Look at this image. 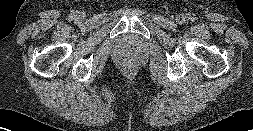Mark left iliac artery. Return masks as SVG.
Instances as JSON below:
<instances>
[{
	"label": "left iliac artery",
	"mask_w": 253,
	"mask_h": 131,
	"mask_svg": "<svg viewBox=\"0 0 253 131\" xmlns=\"http://www.w3.org/2000/svg\"><path fill=\"white\" fill-rule=\"evenodd\" d=\"M195 18H196V17H195L194 14H190L189 17H188V19H189L190 21H194Z\"/></svg>",
	"instance_id": "44dca946"
}]
</instances>
